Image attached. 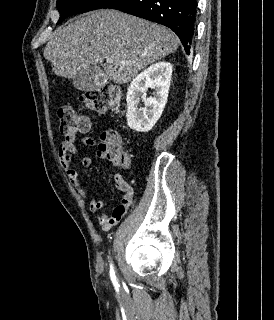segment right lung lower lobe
<instances>
[{
    "instance_id": "98d812e1",
    "label": "right lung lower lobe",
    "mask_w": 274,
    "mask_h": 320,
    "mask_svg": "<svg viewBox=\"0 0 274 320\" xmlns=\"http://www.w3.org/2000/svg\"><path fill=\"white\" fill-rule=\"evenodd\" d=\"M103 8L116 9L169 27L190 54L197 17L196 0H112Z\"/></svg>"
}]
</instances>
